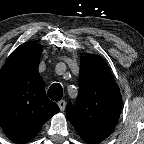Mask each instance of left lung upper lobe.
I'll use <instances>...</instances> for the list:
<instances>
[{"mask_svg": "<svg viewBox=\"0 0 144 144\" xmlns=\"http://www.w3.org/2000/svg\"><path fill=\"white\" fill-rule=\"evenodd\" d=\"M121 109L120 90L106 62L98 55L81 57L76 104L66 106L78 135L89 144L104 141L114 131Z\"/></svg>", "mask_w": 144, "mask_h": 144, "instance_id": "left-lung-upper-lobe-1", "label": "left lung upper lobe"}]
</instances>
